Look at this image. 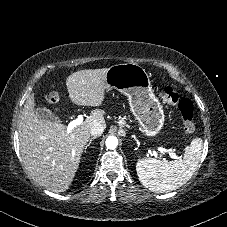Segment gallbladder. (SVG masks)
Masks as SVG:
<instances>
[{
	"instance_id": "bac80fb5",
	"label": "gallbladder",
	"mask_w": 227,
	"mask_h": 227,
	"mask_svg": "<svg viewBox=\"0 0 227 227\" xmlns=\"http://www.w3.org/2000/svg\"><path fill=\"white\" fill-rule=\"evenodd\" d=\"M37 117L41 120L49 121V122H57L58 119L55 117L47 108L38 107L35 110Z\"/></svg>"
}]
</instances>
